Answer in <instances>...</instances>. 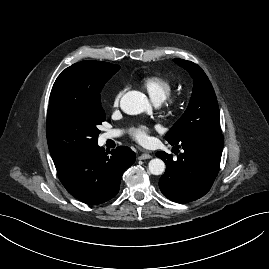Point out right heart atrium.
<instances>
[{
    "instance_id": "1",
    "label": "right heart atrium",
    "mask_w": 269,
    "mask_h": 269,
    "mask_svg": "<svg viewBox=\"0 0 269 269\" xmlns=\"http://www.w3.org/2000/svg\"><path fill=\"white\" fill-rule=\"evenodd\" d=\"M125 89L118 90L112 97L111 105L112 107H117L120 103L121 97L124 94Z\"/></svg>"
}]
</instances>
